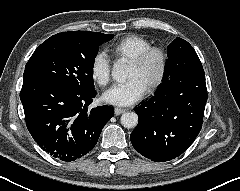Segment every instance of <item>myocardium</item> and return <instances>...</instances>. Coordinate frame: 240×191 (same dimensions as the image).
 <instances>
[{"label": "myocardium", "mask_w": 240, "mask_h": 191, "mask_svg": "<svg viewBox=\"0 0 240 191\" xmlns=\"http://www.w3.org/2000/svg\"><path fill=\"white\" fill-rule=\"evenodd\" d=\"M153 56L158 57L160 65L157 76L147 85V89L149 91L157 89L163 83L166 77L168 69V55L165 49L160 46H150L130 60V63L135 66H143Z\"/></svg>", "instance_id": "1"}]
</instances>
